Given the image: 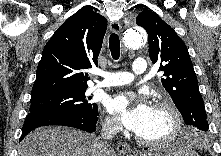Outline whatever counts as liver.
Returning a JSON list of instances; mask_svg holds the SVG:
<instances>
[{
    "label": "liver",
    "mask_w": 221,
    "mask_h": 156,
    "mask_svg": "<svg viewBox=\"0 0 221 156\" xmlns=\"http://www.w3.org/2000/svg\"><path fill=\"white\" fill-rule=\"evenodd\" d=\"M99 140L88 133L66 127H42L20 143L19 156H115L103 153Z\"/></svg>",
    "instance_id": "6515ba94"
}]
</instances>
